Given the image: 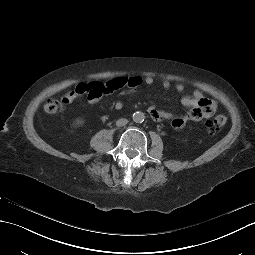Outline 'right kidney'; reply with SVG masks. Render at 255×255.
Segmentation results:
<instances>
[{"label":"right kidney","instance_id":"right-kidney-1","mask_svg":"<svg viewBox=\"0 0 255 255\" xmlns=\"http://www.w3.org/2000/svg\"><path fill=\"white\" fill-rule=\"evenodd\" d=\"M83 122L81 121V120H77L76 122H75V124L77 125V126H79V125H81Z\"/></svg>","mask_w":255,"mask_h":255}]
</instances>
